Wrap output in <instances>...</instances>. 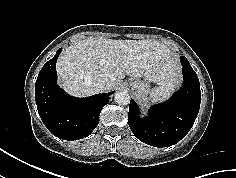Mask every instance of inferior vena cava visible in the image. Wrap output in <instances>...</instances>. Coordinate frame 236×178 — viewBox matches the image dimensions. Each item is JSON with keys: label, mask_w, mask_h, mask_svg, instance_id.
Segmentation results:
<instances>
[{"label": "inferior vena cava", "mask_w": 236, "mask_h": 178, "mask_svg": "<svg viewBox=\"0 0 236 178\" xmlns=\"http://www.w3.org/2000/svg\"><path fill=\"white\" fill-rule=\"evenodd\" d=\"M95 87L98 92H102L107 88V80L101 79L95 83Z\"/></svg>", "instance_id": "inferior-vena-cava-1"}]
</instances>
